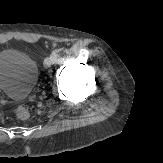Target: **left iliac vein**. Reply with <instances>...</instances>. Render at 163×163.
I'll return each instance as SVG.
<instances>
[{"instance_id":"4c4485c4","label":"left iliac vein","mask_w":163,"mask_h":163,"mask_svg":"<svg viewBox=\"0 0 163 163\" xmlns=\"http://www.w3.org/2000/svg\"><path fill=\"white\" fill-rule=\"evenodd\" d=\"M54 63V57L51 55L44 60L45 68H49Z\"/></svg>"}]
</instances>
